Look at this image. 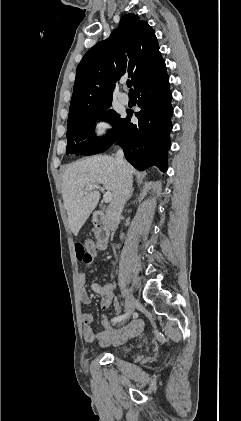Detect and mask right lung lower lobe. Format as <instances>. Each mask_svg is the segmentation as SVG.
<instances>
[{"label":"right lung lower lobe","mask_w":241,"mask_h":421,"mask_svg":"<svg viewBox=\"0 0 241 421\" xmlns=\"http://www.w3.org/2000/svg\"><path fill=\"white\" fill-rule=\"evenodd\" d=\"M134 90L139 98L138 106L142 108L135 113L138 124L130 122L132 113H128L117 144L122 146L127 161L136 169L142 171L155 165L166 171L173 108L169 77L162 57L139 80Z\"/></svg>","instance_id":"1"}]
</instances>
